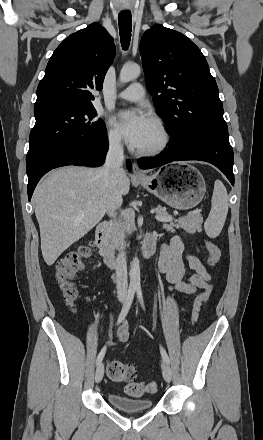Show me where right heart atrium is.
Instances as JSON below:
<instances>
[{"mask_svg":"<svg viewBox=\"0 0 263 440\" xmlns=\"http://www.w3.org/2000/svg\"><path fill=\"white\" fill-rule=\"evenodd\" d=\"M106 140L114 148H119L123 144L122 137L112 122H109L107 125Z\"/></svg>","mask_w":263,"mask_h":440,"instance_id":"obj_1","label":"right heart atrium"}]
</instances>
